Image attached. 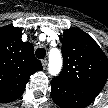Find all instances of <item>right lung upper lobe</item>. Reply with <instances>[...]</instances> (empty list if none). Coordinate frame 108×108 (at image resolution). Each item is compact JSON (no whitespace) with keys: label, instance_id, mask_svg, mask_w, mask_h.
I'll list each match as a JSON object with an SVG mask.
<instances>
[{"label":"right lung upper lobe","instance_id":"1","mask_svg":"<svg viewBox=\"0 0 108 108\" xmlns=\"http://www.w3.org/2000/svg\"><path fill=\"white\" fill-rule=\"evenodd\" d=\"M42 70L33 45L21 40V29L0 28V102H11L24 92L30 76Z\"/></svg>","mask_w":108,"mask_h":108}]
</instances>
